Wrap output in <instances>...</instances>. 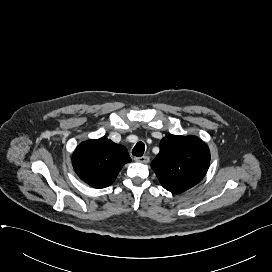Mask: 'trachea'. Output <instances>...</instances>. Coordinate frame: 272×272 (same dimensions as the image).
I'll use <instances>...</instances> for the list:
<instances>
[{
  "mask_svg": "<svg viewBox=\"0 0 272 272\" xmlns=\"http://www.w3.org/2000/svg\"><path fill=\"white\" fill-rule=\"evenodd\" d=\"M144 151H145V145L143 142H138L133 150H132V154L134 156H137V157H141L143 154H144Z\"/></svg>",
  "mask_w": 272,
  "mask_h": 272,
  "instance_id": "obj_1",
  "label": "trachea"
}]
</instances>
